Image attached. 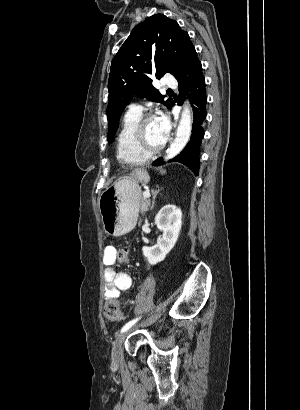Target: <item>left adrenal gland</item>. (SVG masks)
Masks as SVG:
<instances>
[{"instance_id":"left-adrenal-gland-1","label":"left adrenal gland","mask_w":300,"mask_h":410,"mask_svg":"<svg viewBox=\"0 0 300 410\" xmlns=\"http://www.w3.org/2000/svg\"><path fill=\"white\" fill-rule=\"evenodd\" d=\"M159 191H160V189H158V190H151V193H152V195H153V198H152L150 210L155 206V200H156V197H157V194L159 193Z\"/></svg>"}]
</instances>
